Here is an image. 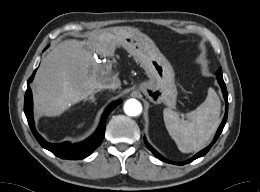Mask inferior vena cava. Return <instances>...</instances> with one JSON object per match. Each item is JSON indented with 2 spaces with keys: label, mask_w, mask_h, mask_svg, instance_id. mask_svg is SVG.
I'll return each instance as SVG.
<instances>
[{
  "label": "inferior vena cava",
  "mask_w": 260,
  "mask_h": 192,
  "mask_svg": "<svg viewBox=\"0 0 260 192\" xmlns=\"http://www.w3.org/2000/svg\"><path fill=\"white\" fill-rule=\"evenodd\" d=\"M121 85V82L118 78L112 79L111 81H109L108 83H104L102 85H100L99 89H111V90H115L117 88H119Z\"/></svg>",
  "instance_id": "602c4592"
}]
</instances>
